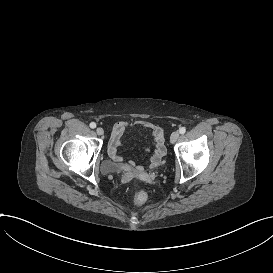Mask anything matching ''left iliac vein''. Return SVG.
Returning a JSON list of instances; mask_svg holds the SVG:
<instances>
[{
	"label": "left iliac vein",
	"mask_w": 273,
	"mask_h": 273,
	"mask_svg": "<svg viewBox=\"0 0 273 273\" xmlns=\"http://www.w3.org/2000/svg\"><path fill=\"white\" fill-rule=\"evenodd\" d=\"M179 138V132L178 131H174L172 134H171V142L172 143H175Z\"/></svg>",
	"instance_id": "1"
}]
</instances>
